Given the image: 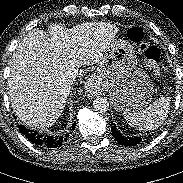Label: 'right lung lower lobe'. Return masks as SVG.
<instances>
[{"label":"right lung lower lobe","instance_id":"right-lung-lower-lobe-1","mask_svg":"<svg viewBox=\"0 0 183 183\" xmlns=\"http://www.w3.org/2000/svg\"><path fill=\"white\" fill-rule=\"evenodd\" d=\"M74 129H75V124L72 125V130ZM19 130L32 143L44 148H57V147L63 146L65 142L68 140V136H69L68 134H71V133H67L65 136L45 135V134H41L36 131L30 130L24 127V125H19Z\"/></svg>","mask_w":183,"mask_h":183}]
</instances>
